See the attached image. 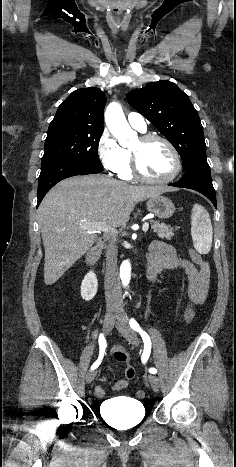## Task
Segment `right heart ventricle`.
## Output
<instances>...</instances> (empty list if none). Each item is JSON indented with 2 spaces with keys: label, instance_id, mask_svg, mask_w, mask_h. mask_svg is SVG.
<instances>
[{
  "label": "right heart ventricle",
  "instance_id": "e07e8e85",
  "mask_svg": "<svg viewBox=\"0 0 236 467\" xmlns=\"http://www.w3.org/2000/svg\"><path fill=\"white\" fill-rule=\"evenodd\" d=\"M126 150V149H125ZM127 153V162L125 166L117 172L119 177L125 180H129L133 178V173H132V157H131V151L126 150Z\"/></svg>",
  "mask_w": 236,
  "mask_h": 467
}]
</instances>
